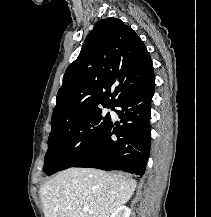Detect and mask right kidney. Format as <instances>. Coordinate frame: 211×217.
<instances>
[{"label":"right kidney","mask_w":211,"mask_h":217,"mask_svg":"<svg viewBox=\"0 0 211 217\" xmlns=\"http://www.w3.org/2000/svg\"><path fill=\"white\" fill-rule=\"evenodd\" d=\"M131 210L126 206L117 208L110 217H130Z\"/></svg>","instance_id":"1"}]
</instances>
